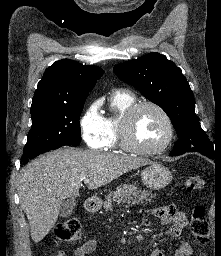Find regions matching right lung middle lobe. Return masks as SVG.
Instances as JSON below:
<instances>
[{"instance_id":"dd1d6c3e","label":"right lung middle lobe","mask_w":221,"mask_h":256,"mask_svg":"<svg viewBox=\"0 0 221 256\" xmlns=\"http://www.w3.org/2000/svg\"><path fill=\"white\" fill-rule=\"evenodd\" d=\"M84 102L31 111L32 128L21 162L25 164L29 158L57 147L78 146L81 141L79 119Z\"/></svg>"}]
</instances>
